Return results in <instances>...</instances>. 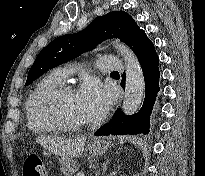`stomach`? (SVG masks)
Segmentation results:
<instances>
[{
  "instance_id": "stomach-1",
  "label": "stomach",
  "mask_w": 205,
  "mask_h": 176,
  "mask_svg": "<svg viewBox=\"0 0 205 176\" xmlns=\"http://www.w3.org/2000/svg\"><path fill=\"white\" fill-rule=\"evenodd\" d=\"M112 146V142L105 138H93L88 143L87 150L92 155L104 154ZM59 163L65 176H72L78 169V163L73 158L60 157Z\"/></svg>"
}]
</instances>
